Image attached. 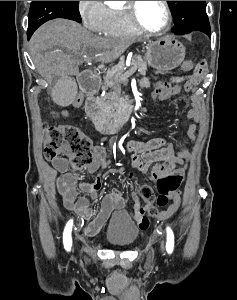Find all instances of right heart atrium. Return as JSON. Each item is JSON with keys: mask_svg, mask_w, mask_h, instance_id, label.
<instances>
[{"mask_svg": "<svg viewBox=\"0 0 237 300\" xmlns=\"http://www.w3.org/2000/svg\"><path fill=\"white\" fill-rule=\"evenodd\" d=\"M78 11L84 26L91 32H110V8L104 1H78Z\"/></svg>", "mask_w": 237, "mask_h": 300, "instance_id": "obj_1", "label": "right heart atrium"}]
</instances>
